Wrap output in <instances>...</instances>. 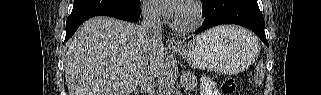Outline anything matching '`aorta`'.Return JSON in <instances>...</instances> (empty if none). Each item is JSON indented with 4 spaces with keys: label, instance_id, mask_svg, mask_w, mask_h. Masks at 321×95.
<instances>
[{
    "label": "aorta",
    "instance_id": "aorta-1",
    "mask_svg": "<svg viewBox=\"0 0 321 95\" xmlns=\"http://www.w3.org/2000/svg\"><path fill=\"white\" fill-rule=\"evenodd\" d=\"M175 94V73L173 67H167L163 74L160 85L159 95H174Z\"/></svg>",
    "mask_w": 321,
    "mask_h": 95
}]
</instances>
